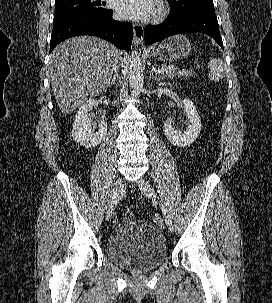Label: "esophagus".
<instances>
[{
	"mask_svg": "<svg viewBox=\"0 0 272 303\" xmlns=\"http://www.w3.org/2000/svg\"><path fill=\"white\" fill-rule=\"evenodd\" d=\"M133 34H134V42L137 45L143 43L144 40V27L142 24L135 23L133 24Z\"/></svg>",
	"mask_w": 272,
	"mask_h": 303,
	"instance_id": "1",
	"label": "esophagus"
}]
</instances>
